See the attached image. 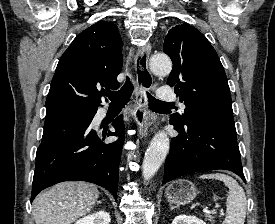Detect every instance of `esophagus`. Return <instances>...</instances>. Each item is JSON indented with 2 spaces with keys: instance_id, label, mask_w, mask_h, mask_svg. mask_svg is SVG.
I'll return each mask as SVG.
<instances>
[{
  "instance_id": "34e87169",
  "label": "esophagus",
  "mask_w": 275,
  "mask_h": 224,
  "mask_svg": "<svg viewBox=\"0 0 275 224\" xmlns=\"http://www.w3.org/2000/svg\"><path fill=\"white\" fill-rule=\"evenodd\" d=\"M151 52L150 43L139 47L135 56V71L138 84V93L136 98L137 109L134 114L135 122L138 126L139 135L145 137L148 132V128L155 122V117L148 110L147 95L153 84V77L148 68V59Z\"/></svg>"
}]
</instances>
